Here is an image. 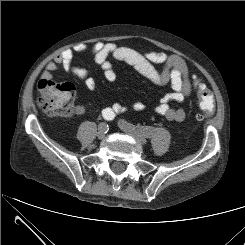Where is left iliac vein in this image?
<instances>
[{"label":"left iliac vein","mask_w":245,"mask_h":245,"mask_svg":"<svg viewBox=\"0 0 245 245\" xmlns=\"http://www.w3.org/2000/svg\"><path fill=\"white\" fill-rule=\"evenodd\" d=\"M119 126L124 132H126V133L132 135L134 138H136L142 145H145L147 143L146 138L141 133H139L135 129L126 127L125 125L122 124V121L119 122Z\"/></svg>","instance_id":"4c4485c4"}]
</instances>
